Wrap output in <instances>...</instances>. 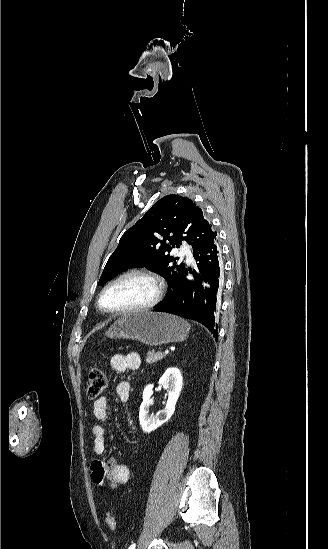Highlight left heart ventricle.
<instances>
[{"label": "left heart ventricle", "instance_id": "b2bd125f", "mask_svg": "<svg viewBox=\"0 0 328 549\" xmlns=\"http://www.w3.org/2000/svg\"><path fill=\"white\" fill-rule=\"evenodd\" d=\"M153 293L154 286L149 279L133 274L113 285L105 293L103 304L109 309H123L147 302Z\"/></svg>", "mask_w": 328, "mask_h": 549}]
</instances>
